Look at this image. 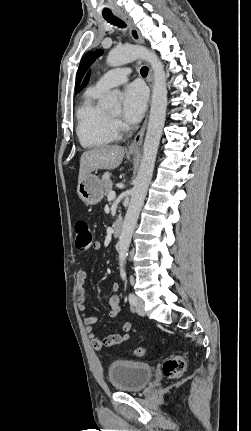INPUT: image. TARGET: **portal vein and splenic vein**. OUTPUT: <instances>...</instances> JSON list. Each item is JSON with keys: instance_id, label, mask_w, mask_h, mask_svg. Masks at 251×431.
<instances>
[{"instance_id": "portal-vein-and-splenic-vein-1", "label": "portal vein and splenic vein", "mask_w": 251, "mask_h": 431, "mask_svg": "<svg viewBox=\"0 0 251 431\" xmlns=\"http://www.w3.org/2000/svg\"><path fill=\"white\" fill-rule=\"evenodd\" d=\"M107 197H108V200H113L116 197L115 191H111Z\"/></svg>"}]
</instances>
